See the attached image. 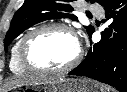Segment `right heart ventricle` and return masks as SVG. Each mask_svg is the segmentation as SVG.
I'll return each mask as SVG.
<instances>
[{
  "label": "right heart ventricle",
  "instance_id": "right-heart-ventricle-1",
  "mask_svg": "<svg viewBox=\"0 0 127 92\" xmlns=\"http://www.w3.org/2000/svg\"><path fill=\"white\" fill-rule=\"evenodd\" d=\"M26 34L22 35L14 44L12 50H11V55H10V61H9V68L12 73L16 75H24L28 73V71L21 65L18 57V50H19V45L24 38Z\"/></svg>",
  "mask_w": 127,
  "mask_h": 92
}]
</instances>
